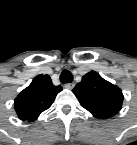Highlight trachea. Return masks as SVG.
<instances>
[{"mask_svg": "<svg viewBox=\"0 0 137 145\" xmlns=\"http://www.w3.org/2000/svg\"><path fill=\"white\" fill-rule=\"evenodd\" d=\"M72 79H73V76L70 71L64 70L61 73L60 80L62 83H70V82H72Z\"/></svg>", "mask_w": 137, "mask_h": 145, "instance_id": "3493384b", "label": "trachea"}]
</instances>
